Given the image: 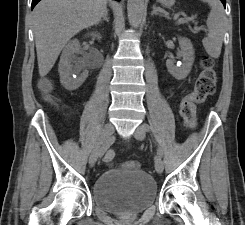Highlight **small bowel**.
I'll return each instance as SVG.
<instances>
[{"label": "small bowel", "instance_id": "small-bowel-1", "mask_svg": "<svg viewBox=\"0 0 245 225\" xmlns=\"http://www.w3.org/2000/svg\"><path fill=\"white\" fill-rule=\"evenodd\" d=\"M38 84L40 86L50 85L51 84V80H50V78H42V79L39 80Z\"/></svg>", "mask_w": 245, "mask_h": 225}]
</instances>
